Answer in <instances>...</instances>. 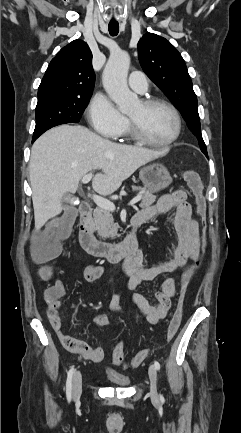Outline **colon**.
Listing matches in <instances>:
<instances>
[{"instance_id": "obj_1", "label": "colon", "mask_w": 241, "mask_h": 433, "mask_svg": "<svg viewBox=\"0 0 241 433\" xmlns=\"http://www.w3.org/2000/svg\"><path fill=\"white\" fill-rule=\"evenodd\" d=\"M185 178L193 191L198 215L201 217L202 222H205V198L203 195V185L195 171L188 170L185 172ZM62 216L53 221L47 229L38 237L35 238L31 254L34 260L38 263H44L53 258L60 249L61 240L65 238L71 227V214H78V205H61L60 208ZM198 262L193 264L182 276L179 287V296L176 309L170 319L167 328V339L171 340L177 333L182 317L186 300L188 287L194 269L197 267ZM49 269L42 270V276L49 278L51 276ZM46 298H54L56 291L48 289L45 293ZM148 357V351L142 350L138 352L130 361L125 360V347L122 342H118L113 350V362L117 365L124 367H138ZM114 372L110 370L108 373Z\"/></svg>"}]
</instances>
